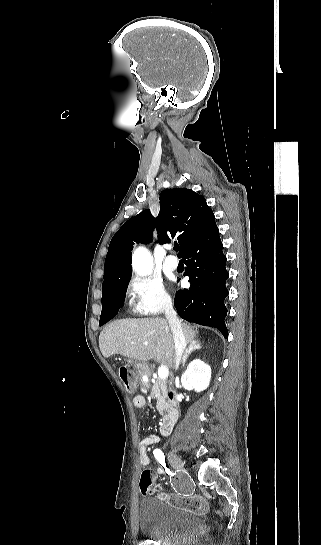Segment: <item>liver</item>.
Instances as JSON below:
<instances>
[{"label": "liver", "mask_w": 321, "mask_h": 545, "mask_svg": "<svg viewBox=\"0 0 321 545\" xmlns=\"http://www.w3.org/2000/svg\"><path fill=\"white\" fill-rule=\"evenodd\" d=\"M186 343L198 335L187 323H181ZM148 343V345H144ZM103 357L123 355L136 361H158L168 367L175 363L172 331L166 319H119L104 327L99 335Z\"/></svg>", "instance_id": "obj_1"}]
</instances>
